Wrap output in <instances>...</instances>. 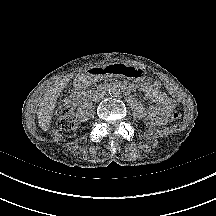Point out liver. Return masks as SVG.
<instances>
[{"mask_svg": "<svg viewBox=\"0 0 216 216\" xmlns=\"http://www.w3.org/2000/svg\"><path fill=\"white\" fill-rule=\"evenodd\" d=\"M63 87V83L56 85L52 91L45 94L43 101L40 103L37 116L39 126L44 132H47L50 128L53 110Z\"/></svg>", "mask_w": 216, "mask_h": 216, "instance_id": "obj_1", "label": "liver"}]
</instances>
